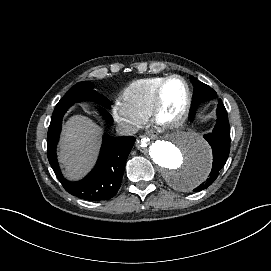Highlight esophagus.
<instances>
[{"instance_id":"obj_1","label":"esophagus","mask_w":271,"mask_h":271,"mask_svg":"<svg viewBox=\"0 0 271 271\" xmlns=\"http://www.w3.org/2000/svg\"><path fill=\"white\" fill-rule=\"evenodd\" d=\"M146 135L151 139H156L159 136V133L154 129H149L146 132Z\"/></svg>"}]
</instances>
